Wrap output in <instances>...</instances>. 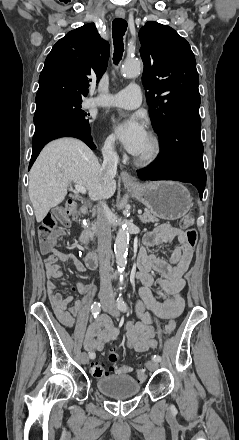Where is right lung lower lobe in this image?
<instances>
[{
    "label": "right lung lower lobe",
    "instance_id": "98d812e1",
    "mask_svg": "<svg viewBox=\"0 0 239 440\" xmlns=\"http://www.w3.org/2000/svg\"><path fill=\"white\" fill-rule=\"evenodd\" d=\"M35 134L32 139V166L42 148L51 140L61 137H75L84 141L92 150L96 148L90 137L89 123L79 122L57 110L35 113Z\"/></svg>",
    "mask_w": 239,
    "mask_h": 440
}]
</instances>
